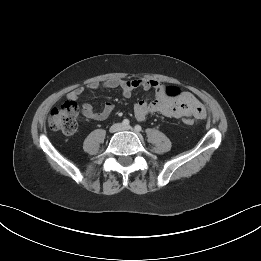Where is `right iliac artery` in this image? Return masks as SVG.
Listing matches in <instances>:
<instances>
[{
  "mask_svg": "<svg viewBox=\"0 0 261 261\" xmlns=\"http://www.w3.org/2000/svg\"><path fill=\"white\" fill-rule=\"evenodd\" d=\"M129 120L128 119H124L123 121H122V124L124 125V126H128L129 125Z\"/></svg>",
  "mask_w": 261,
  "mask_h": 261,
  "instance_id": "1",
  "label": "right iliac artery"
}]
</instances>
